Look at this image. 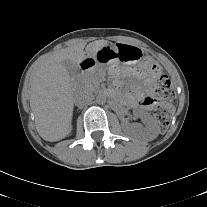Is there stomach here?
I'll return each mask as SVG.
<instances>
[{"mask_svg":"<svg viewBox=\"0 0 207 207\" xmlns=\"http://www.w3.org/2000/svg\"><path fill=\"white\" fill-rule=\"evenodd\" d=\"M92 59L100 65L112 63L135 65L145 60V54L137 47L118 43L105 45Z\"/></svg>","mask_w":207,"mask_h":207,"instance_id":"0dacf381","label":"stomach"}]
</instances>
